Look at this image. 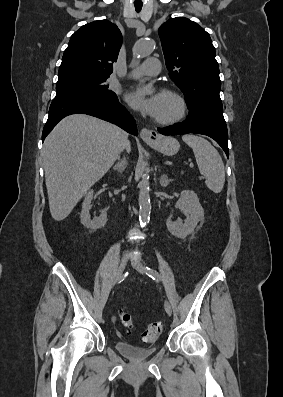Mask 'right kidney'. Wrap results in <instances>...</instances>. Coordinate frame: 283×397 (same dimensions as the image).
Segmentation results:
<instances>
[{"instance_id":"1","label":"right kidney","mask_w":283,"mask_h":397,"mask_svg":"<svg viewBox=\"0 0 283 397\" xmlns=\"http://www.w3.org/2000/svg\"><path fill=\"white\" fill-rule=\"evenodd\" d=\"M92 199H93V190H90L85 196L80 217H81V223L87 229L96 231L97 229L104 227V225L106 224L107 213L103 212L102 214H100L99 217H95L91 219L89 211H90V203Z\"/></svg>"}]
</instances>
